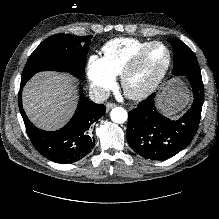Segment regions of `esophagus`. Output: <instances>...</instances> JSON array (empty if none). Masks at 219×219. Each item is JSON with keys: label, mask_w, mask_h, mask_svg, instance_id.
Here are the masks:
<instances>
[{"label": "esophagus", "mask_w": 219, "mask_h": 219, "mask_svg": "<svg viewBox=\"0 0 219 219\" xmlns=\"http://www.w3.org/2000/svg\"><path fill=\"white\" fill-rule=\"evenodd\" d=\"M116 107V104L114 103H107L106 104V111L108 112L110 109Z\"/></svg>", "instance_id": "obj_1"}]
</instances>
